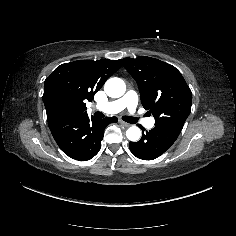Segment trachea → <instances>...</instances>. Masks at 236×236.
I'll use <instances>...</instances> for the list:
<instances>
[{"label": "trachea", "instance_id": "trachea-1", "mask_svg": "<svg viewBox=\"0 0 236 236\" xmlns=\"http://www.w3.org/2000/svg\"><path fill=\"white\" fill-rule=\"evenodd\" d=\"M141 117H130V116H124L123 120L126 121L127 123L135 124L137 123Z\"/></svg>", "mask_w": 236, "mask_h": 236}]
</instances>
